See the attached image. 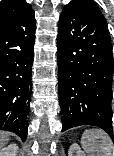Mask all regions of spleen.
I'll list each match as a JSON object with an SVG mask.
<instances>
[{
	"mask_svg": "<svg viewBox=\"0 0 114 156\" xmlns=\"http://www.w3.org/2000/svg\"><path fill=\"white\" fill-rule=\"evenodd\" d=\"M87 156H112V140L101 129H88L81 137Z\"/></svg>",
	"mask_w": 114,
	"mask_h": 156,
	"instance_id": "spleen-1",
	"label": "spleen"
}]
</instances>
